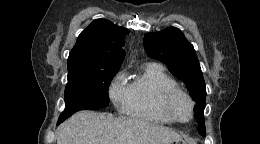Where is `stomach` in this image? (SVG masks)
Here are the masks:
<instances>
[{"label":"stomach","mask_w":260,"mask_h":144,"mask_svg":"<svg viewBox=\"0 0 260 144\" xmlns=\"http://www.w3.org/2000/svg\"><path fill=\"white\" fill-rule=\"evenodd\" d=\"M171 144H173V143H171ZM175 144H179V141H175Z\"/></svg>","instance_id":"obj_1"}]
</instances>
